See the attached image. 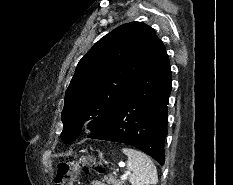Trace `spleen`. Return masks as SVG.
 I'll use <instances>...</instances> for the list:
<instances>
[{
  "label": "spleen",
  "instance_id": "3e777b00",
  "mask_svg": "<svg viewBox=\"0 0 233 185\" xmlns=\"http://www.w3.org/2000/svg\"><path fill=\"white\" fill-rule=\"evenodd\" d=\"M122 152L128 157L127 168L132 171L129 177L132 185L157 184L156 166L146 154L132 148H123Z\"/></svg>",
  "mask_w": 233,
  "mask_h": 185
}]
</instances>
